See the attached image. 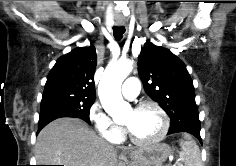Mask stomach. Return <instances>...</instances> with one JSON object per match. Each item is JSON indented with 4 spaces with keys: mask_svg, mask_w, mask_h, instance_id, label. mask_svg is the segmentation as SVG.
<instances>
[{
    "mask_svg": "<svg viewBox=\"0 0 236 166\" xmlns=\"http://www.w3.org/2000/svg\"><path fill=\"white\" fill-rule=\"evenodd\" d=\"M137 154L131 155L136 161L133 166H163V163L171 155V148L165 143H158L137 150Z\"/></svg>",
    "mask_w": 236,
    "mask_h": 166,
    "instance_id": "stomach-1",
    "label": "stomach"
}]
</instances>
